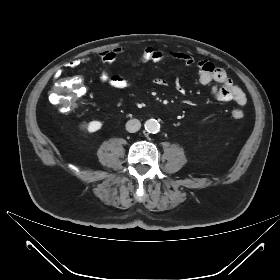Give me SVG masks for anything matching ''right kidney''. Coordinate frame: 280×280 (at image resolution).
Listing matches in <instances>:
<instances>
[{
    "label": "right kidney",
    "mask_w": 280,
    "mask_h": 280,
    "mask_svg": "<svg viewBox=\"0 0 280 280\" xmlns=\"http://www.w3.org/2000/svg\"><path fill=\"white\" fill-rule=\"evenodd\" d=\"M101 127H102V123L100 121H96V120L91 121L88 124H83L81 126L82 129H87L88 132H90V133L98 131L99 129H101Z\"/></svg>",
    "instance_id": "right-kidney-1"
}]
</instances>
